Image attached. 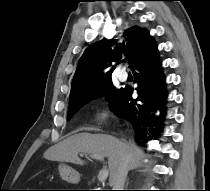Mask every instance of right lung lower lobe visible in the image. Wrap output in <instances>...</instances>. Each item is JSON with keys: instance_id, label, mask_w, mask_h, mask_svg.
<instances>
[{"instance_id": "obj_1", "label": "right lung lower lobe", "mask_w": 210, "mask_h": 191, "mask_svg": "<svg viewBox=\"0 0 210 191\" xmlns=\"http://www.w3.org/2000/svg\"><path fill=\"white\" fill-rule=\"evenodd\" d=\"M131 69L136 71L134 76L138 97L132 98L133 89L127 85L110 107L133 125L136 140L143 144L159 136L165 116L167 94L154 40L138 55ZM157 110H160L159 116L154 114Z\"/></svg>"}]
</instances>
